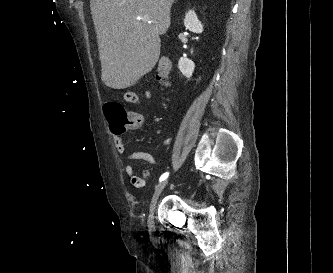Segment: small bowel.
Instances as JSON below:
<instances>
[{"instance_id": "obj_1", "label": "small bowel", "mask_w": 333, "mask_h": 273, "mask_svg": "<svg viewBox=\"0 0 333 273\" xmlns=\"http://www.w3.org/2000/svg\"><path fill=\"white\" fill-rule=\"evenodd\" d=\"M124 99L126 102H129L132 104L140 103V97L138 96V94H136L134 92L126 93ZM133 118H135L136 121L133 124H131L130 126H128L127 129L135 130V129L141 128L144 123L145 111H133ZM111 132H112L113 142H114L116 150L120 154H125L126 150H125V146H124L123 139H122V132H118V131H115L112 129H111ZM126 158L129 161H144V162H147L149 164H154V165L157 164V162H158L156 157L147 151H133V152L127 153ZM125 173L131 177L132 183L135 187H137V188L143 187V184L139 182L137 176L135 175V167L132 163H128L125 165Z\"/></svg>"}]
</instances>
